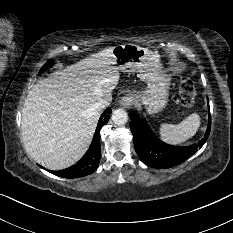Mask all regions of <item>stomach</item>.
I'll return each mask as SVG.
<instances>
[{"mask_svg": "<svg viewBox=\"0 0 233 233\" xmlns=\"http://www.w3.org/2000/svg\"><path fill=\"white\" fill-rule=\"evenodd\" d=\"M112 53L120 71L137 72L138 77L147 83L145 90L131 96L145 106L148 114L162 111L168 102L171 77L161 66L158 56L135 44L115 46Z\"/></svg>", "mask_w": 233, "mask_h": 233, "instance_id": "obj_1", "label": "stomach"}]
</instances>
